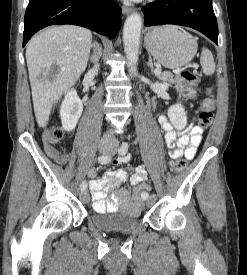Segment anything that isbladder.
I'll return each instance as SVG.
<instances>
[{
	"mask_svg": "<svg viewBox=\"0 0 247 275\" xmlns=\"http://www.w3.org/2000/svg\"><path fill=\"white\" fill-rule=\"evenodd\" d=\"M139 216L119 212L98 211L91 216V222L109 232H131L139 225Z\"/></svg>",
	"mask_w": 247,
	"mask_h": 275,
	"instance_id": "31cf9c89",
	"label": "bladder"
}]
</instances>
